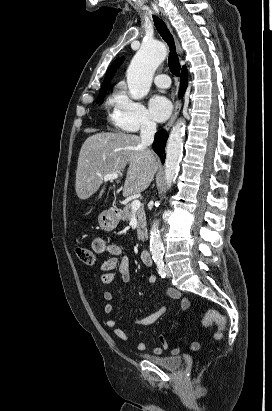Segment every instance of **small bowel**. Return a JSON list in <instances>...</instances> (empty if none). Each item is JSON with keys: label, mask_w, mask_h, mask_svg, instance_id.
<instances>
[{"label": "small bowel", "mask_w": 272, "mask_h": 411, "mask_svg": "<svg viewBox=\"0 0 272 411\" xmlns=\"http://www.w3.org/2000/svg\"><path fill=\"white\" fill-rule=\"evenodd\" d=\"M92 248L96 253L103 254L108 253L109 258L103 261L101 264L102 274L100 281L103 285H110L115 278L114 270L117 269L120 280L124 283L128 282L130 279L131 267L130 261L127 256L123 254L122 248L115 243L107 242L101 237H96L92 241ZM149 284H154L158 281L157 277L154 275H149L146 279ZM166 295L179 301V305L182 311H185L189 307V300L181 296V293L175 288H169L166 291ZM103 298L105 300L104 313L110 315L113 312V294L110 291H105L103 293ZM167 306H162L159 310L143 317L132 319V324L137 326H147L156 322L163 314L167 312ZM106 327L111 330V332L120 340L128 341L129 336L126 332L121 329L113 319H107L105 322ZM160 345L155 346L153 352L157 355L162 354L165 350H170L173 355H178L180 353L179 348H169L168 340L165 335L159 337ZM136 349L138 351H144L146 349V344L144 341L136 342ZM200 348V343L194 341L190 343L189 349L191 351H196Z\"/></svg>", "instance_id": "c3829d8e"}]
</instances>
